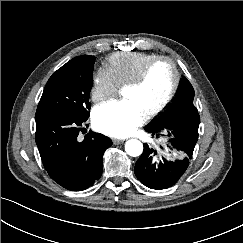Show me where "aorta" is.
I'll return each mask as SVG.
<instances>
[{"mask_svg":"<svg viewBox=\"0 0 243 243\" xmlns=\"http://www.w3.org/2000/svg\"><path fill=\"white\" fill-rule=\"evenodd\" d=\"M125 151L132 157H138L143 152V144L137 139L128 140L125 144Z\"/></svg>","mask_w":243,"mask_h":243,"instance_id":"762f6f07","label":"aorta"}]
</instances>
